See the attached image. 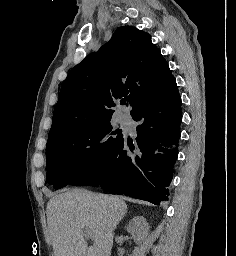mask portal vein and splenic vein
Returning <instances> with one entry per match:
<instances>
[{
	"label": "portal vein and splenic vein",
	"instance_id": "1",
	"mask_svg": "<svg viewBox=\"0 0 236 256\" xmlns=\"http://www.w3.org/2000/svg\"><path fill=\"white\" fill-rule=\"evenodd\" d=\"M84 238H86V240H90L91 236H90V230L89 228H84Z\"/></svg>",
	"mask_w": 236,
	"mask_h": 256
}]
</instances>
